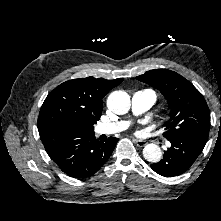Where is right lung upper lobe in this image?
<instances>
[{
    "instance_id": "right-lung-upper-lobe-1",
    "label": "right lung upper lobe",
    "mask_w": 221,
    "mask_h": 221,
    "mask_svg": "<svg viewBox=\"0 0 221 221\" xmlns=\"http://www.w3.org/2000/svg\"><path fill=\"white\" fill-rule=\"evenodd\" d=\"M123 78L87 77L66 81L46 97L38 117V129L63 128L70 123L94 125L100 119L103 97Z\"/></svg>"
}]
</instances>
